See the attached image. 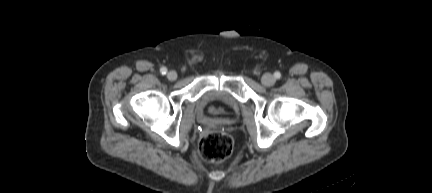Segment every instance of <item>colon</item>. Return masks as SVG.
I'll return each mask as SVG.
<instances>
[{
    "label": "colon",
    "instance_id": "obj_1",
    "mask_svg": "<svg viewBox=\"0 0 432 193\" xmlns=\"http://www.w3.org/2000/svg\"><path fill=\"white\" fill-rule=\"evenodd\" d=\"M233 150V139L225 133L213 132L199 142V155L206 161L219 162L228 158Z\"/></svg>",
    "mask_w": 432,
    "mask_h": 193
}]
</instances>
